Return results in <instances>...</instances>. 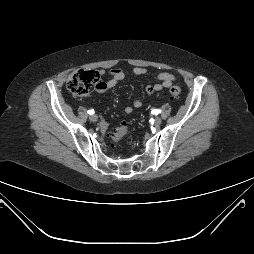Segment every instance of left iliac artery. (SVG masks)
<instances>
[{
	"label": "left iliac artery",
	"instance_id": "1",
	"mask_svg": "<svg viewBox=\"0 0 254 254\" xmlns=\"http://www.w3.org/2000/svg\"><path fill=\"white\" fill-rule=\"evenodd\" d=\"M151 113L154 114V115H158V114L160 113V110H158V109H153V110L151 111Z\"/></svg>",
	"mask_w": 254,
	"mask_h": 254
}]
</instances>
